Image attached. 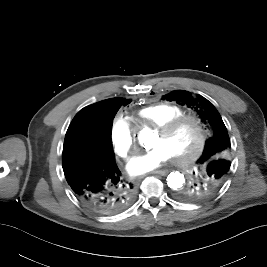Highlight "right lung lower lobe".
<instances>
[{
  "mask_svg": "<svg viewBox=\"0 0 267 267\" xmlns=\"http://www.w3.org/2000/svg\"><path fill=\"white\" fill-rule=\"evenodd\" d=\"M99 125L86 121L76 124L65 137L62 166L69 186L82 203L100 214H117L134 201L136 190L125 180L114 158L85 156L101 138Z\"/></svg>",
  "mask_w": 267,
  "mask_h": 267,
  "instance_id": "98d812e1",
  "label": "right lung lower lobe"
}]
</instances>
